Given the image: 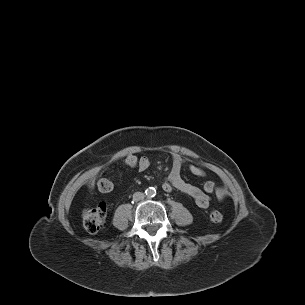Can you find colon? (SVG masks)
Listing matches in <instances>:
<instances>
[{
	"instance_id": "obj_1",
	"label": "colon",
	"mask_w": 305,
	"mask_h": 305,
	"mask_svg": "<svg viewBox=\"0 0 305 305\" xmlns=\"http://www.w3.org/2000/svg\"><path fill=\"white\" fill-rule=\"evenodd\" d=\"M140 157L136 152L130 151L122 158L121 166L124 168H132L139 165ZM98 188L101 192H109L113 189L112 181L107 178H101L98 182ZM107 208L101 203L96 207L87 208L82 213L83 224L89 233H96L105 224ZM222 214L218 210H213L209 214V219L212 223L222 221Z\"/></svg>"
}]
</instances>
